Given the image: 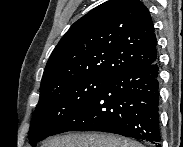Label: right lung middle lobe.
<instances>
[{"mask_svg":"<svg viewBox=\"0 0 183 147\" xmlns=\"http://www.w3.org/2000/svg\"><path fill=\"white\" fill-rule=\"evenodd\" d=\"M109 79L87 77L40 89L32 117L29 141L32 146L51 136L57 127L89 100Z\"/></svg>","mask_w":183,"mask_h":147,"instance_id":"1","label":"right lung middle lobe"}]
</instances>
